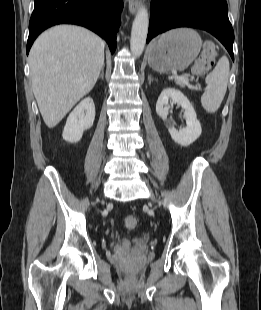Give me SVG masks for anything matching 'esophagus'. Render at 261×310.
<instances>
[{
  "instance_id": "1",
  "label": "esophagus",
  "mask_w": 261,
  "mask_h": 310,
  "mask_svg": "<svg viewBox=\"0 0 261 310\" xmlns=\"http://www.w3.org/2000/svg\"><path fill=\"white\" fill-rule=\"evenodd\" d=\"M140 7V2L138 0L129 1V11L131 14H135Z\"/></svg>"
}]
</instances>
